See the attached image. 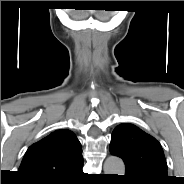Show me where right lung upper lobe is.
Segmentation results:
<instances>
[{"label": "right lung upper lobe", "mask_w": 184, "mask_h": 184, "mask_svg": "<svg viewBox=\"0 0 184 184\" xmlns=\"http://www.w3.org/2000/svg\"><path fill=\"white\" fill-rule=\"evenodd\" d=\"M82 166L79 140L72 131L60 129L28 148L19 172L27 181L57 182L67 179Z\"/></svg>", "instance_id": "cb5924a9"}]
</instances>
